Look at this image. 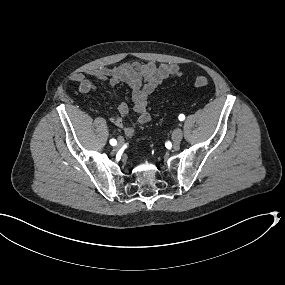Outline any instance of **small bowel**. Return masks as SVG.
I'll return each instance as SVG.
<instances>
[{
	"instance_id": "c3829d8e",
	"label": "small bowel",
	"mask_w": 285,
	"mask_h": 285,
	"mask_svg": "<svg viewBox=\"0 0 285 285\" xmlns=\"http://www.w3.org/2000/svg\"><path fill=\"white\" fill-rule=\"evenodd\" d=\"M183 74L176 64H156L155 62L131 61L116 67H103L80 73L73 76V81L78 84V91L86 94L96 90L95 83L87 76L106 82L111 86L125 83L132 89L133 111L138 114L135 125L126 126L124 118L129 113V106L121 102L117 107V113L111 117V122L122 129L128 136H133L137 130L150 121L148 112V97L164 81L179 77Z\"/></svg>"
}]
</instances>
